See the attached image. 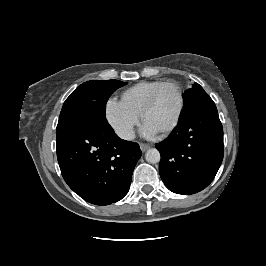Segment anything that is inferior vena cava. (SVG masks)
<instances>
[{
	"label": "inferior vena cava",
	"instance_id": "inferior-vena-cava-1",
	"mask_svg": "<svg viewBox=\"0 0 266 266\" xmlns=\"http://www.w3.org/2000/svg\"><path fill=\"white\" fill-rule=\"evenodd\" d=\"M118 136L125 140H133L135 138V132L132 127H127L118 131Z\"/></svg>",
	"mask_w": 266,
	"mask_h": 266
}]
</instances>
